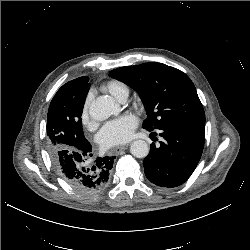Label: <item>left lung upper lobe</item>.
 <instances>
[{"label": "left lung upper lobe", "mask_w": 250, "mask_h": 250, "mask_svg": "<svg viewBox=\"0 0 250 250\" xmlns=\"http://www.w3.org/2000/svg\"><path fill=\"white\" fill-rule=\"evenodd\" d=\"M109 75L138 92L147 118V131L185 125H205V113L196 88L182 71L161 63L120 67Z\"/></svg>", "instance_id": "obj_1"}]
</instances>
